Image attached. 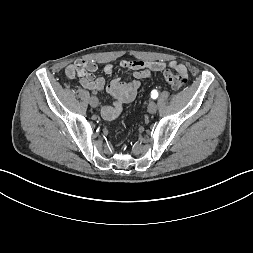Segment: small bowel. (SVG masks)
<instances>
[{
  "mask_svg": "<svg viewBox=\"0 0 253 253\" xmlns=\"http://www.w3.org/2000/svg\"><path fill=\"white\" fill-rule=\"evenodd\" d=\"M123 69L130 70L133 73L134 80L122 82L115 78L106 85L104 78H95L94 73L97 70V64L93 61L77 60L66 67V76L70 79H79L81 86L88 90L96 89L101 91L106 87L107 92L113 98L110 106H104L101 109L102 116L106 120L116 119L122 111L123 105L132 102L141 87V79L148 78L152 73L160 72L167 66L186 73V67L176 61L168 64L160 61H131L123 60L120 62ZM114 71V65L107 63L103 67L105 75L109 76Z\"/></svg>",
  "mask_w": 253,
  "mask_h": 253,
  "instance_id": "1",
  "label": "small bowel"
}]
</instances>
